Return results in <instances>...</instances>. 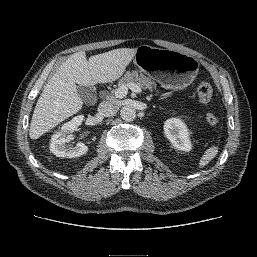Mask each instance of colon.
Returning a JSON list of instances; mask_svg holds the SVG:
<instances>
[{
  "instance_id": "obj_1",
  "label": "colon",
  "mask_w": 257,
  "mask_h": 257,
  "mask_svg": "<svg viewBox=\"0 0 257 257\" xmlns=\"http://www.w3.org/2000/svg\"><path fill=\"white\" fill-rule=\"evenodd\" d=\"M196 93L199 101L203 104H207L212 98L213 88L210 83L203 81L198 84ZM206 120L211 126L218 124V118L213 113H208L206 115Z\"/></svg>"
}]
</instances>
